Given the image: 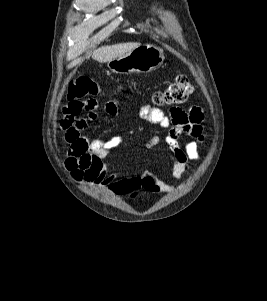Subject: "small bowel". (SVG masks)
I'll list each match as a JSON object with an SVG mask.
<instances>
[{"label":"small bowel","mask_w":267,"mask_h":301,"mask_svg":"<svg viewBox=\"0 0 267 301\" xmlns=\"http://www.w3.org/2000/svg\"><path fill=\"white\" fill-rule=\"evenodd\" d=\"M117 108L118 102L110 101L105 104L104 111L109 116H115ZM97 109L98 102L94 97L68 100L63 107L64 118L60 126L68 144L65 166L75 180L103 187L120 197L137 198L147 194H166L172 192L175 185L188 173L189 163L200 162L198 143L203 140V113L199 108L192 107L186 111L172 107L166 114L159 108L143 106L139 110V117L167 130L165 142L173 161L174 183H167L146 171L126 177L109 173L108 155L121 143V138L91 140L82 134L88 122L97 118ZM83 112L86 113L85 116L81 115ZM183 136L189 139L182 142ZM159 142L158 136H152L146 147L153 148Z\"/></svg>","instance_id":"1"}]
</instances>
